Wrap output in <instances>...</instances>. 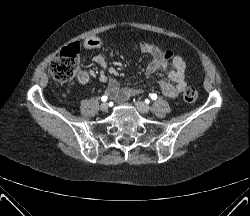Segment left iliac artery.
Returning a JSON list of instances; mask_svg holds the SVG:
<instances>
[{
  "instance_id": "44dca946",
  "label": "left iliac artery",
  "mask_w": 250,
  "mask_h": 216,
  "mask_svg": "<svg viewBox=\"0 0 250 216\" xmlns=\"http://www.w3.org/2000/svg\"><path fill=\"white\" fill-rule=\"evenodd\" d=\"M150 97H151L152 100H156L157 99V95L155 93L151 94Z\"/></svg>"
}]
</instances>
